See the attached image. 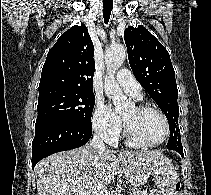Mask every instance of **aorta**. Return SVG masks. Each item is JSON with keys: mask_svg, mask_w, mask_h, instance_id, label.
Masks as SVG:
<instances>
[{"mask_svg": "<svg viewBox=\"0 0 211 195\" xmlns=\"http://www.w3.org/2000/svg\"><path fill=\"white\" fill-rule=\"evenodd\" d=\"M126 55L127 50L121 44L110 47L105 53L107 76L104 80V89L105 94L112 100L116 112H121L133 106V102L123 95L121 88L114 78L116 71L123 64Z\"/></svg>", "mask_w": 211, "mask_h": 195, "instance_id": "aorta-1", "label": "aorta"}]
</instances>
